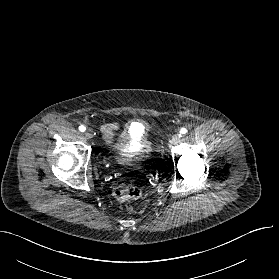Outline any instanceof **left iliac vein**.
<instances>
[{
    "label": "left iliac vein",
    "mask_w": 279,
    "mask_h": 279,
    "mask_svg": "<svg viewBox=\"0 0 279 279\" xmlns=\"http://www.w3.org/2000/svg\"><path fill=\"white\" fill-rule=\"evenodd\" d=\"M180 137H181L180 134H175V135L172 137V139H171V144H172V145L178 144L179 141H180Z\"/></svg>",
    "instance_id": "obj_1"
}]
</instances>
